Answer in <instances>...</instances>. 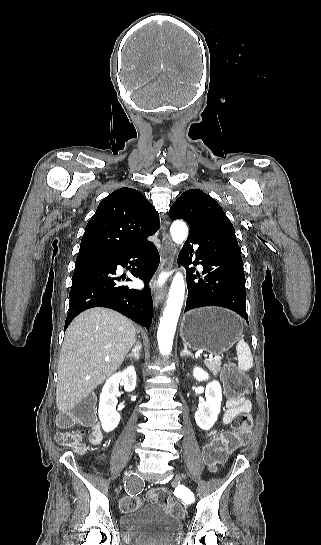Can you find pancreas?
<instances>
[{"mask_svg": "<svg viewBox=\"0 0 321 545\" xmlns=\"http://www.w3.org/2000/svg\"><path fill=\"white\" fill-rule=\"evenodd\" d=\"M207 369H209L210 373L216 377L218 375V371H221V361L220 359H208V361H204Z\"/></svg>", "mask_w": 321, "mask_h": 545, "instance_id": "obj_1", "label": "pancreas"}]
</instances>
